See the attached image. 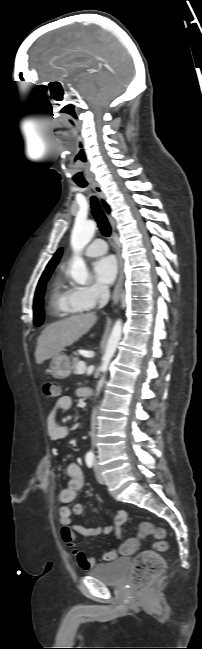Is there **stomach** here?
Listing matches in <instances>:
<instances>
[{
  "instance_id": "1",
  "label": "stomach",
  "mask_w": 202,
  "mask_h": 649,
  "mask_svg": "<svg viewBox=\"0 0 202 649\" xmlns=\"http://www.w3.org/2000/svg\"><path fill=\"white\" fill-rule=\"evenodd\" d=\"M49 368L54 378L65 379L70 376L72 371L70 358L64 354H58L52 358Z\"/></svg>"
}]
</instances>
